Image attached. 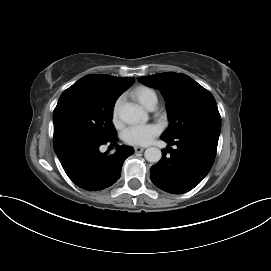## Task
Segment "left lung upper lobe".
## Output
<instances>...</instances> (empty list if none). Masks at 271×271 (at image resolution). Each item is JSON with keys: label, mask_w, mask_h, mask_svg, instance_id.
<instances>
[{"label": "left lung upper lobe", "mask_w": 271, "mask_h": 271, "mask_svg": "<svg viewBox=\"0 0 271 271\" xmlns=\"http://www.w3.org/2000/svg\"><path fill=\"white\" fill-rule=\"evenodd\" d=\"M137 79L160 89L167 102L170 125L163 138L199 132L220 134L221 117L213 95L189 76L165 72Z\"/></svg>", "instance_id": "1"}]
</instances>
